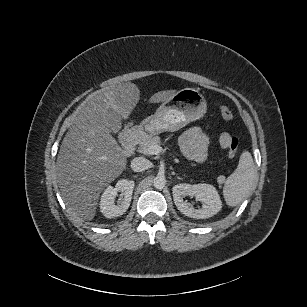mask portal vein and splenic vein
I'll return each mask as SVG.
<instances>
[{
  "mask_svg": "<svg viewBox=\"0 0 307 307\" xmlns=\"http://www.w3.org/2000/svg\"><path fill=\"white\" fill-rule=\"evenodd\" d=\"M153 154H159L162 150L161 146L156 144L150 148Z\"/></svg>",
  "mask_w": 307,
  "mask_h": 307,
  "instance_id": "obj_1",
  "label": "portal vein and splenic vein"
}]
</instances>
